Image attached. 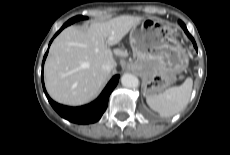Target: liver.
Masks as SVG:
<instances>
[{
  "label": "liver",
  "mask_w": 230,
  "mask_h": 155,
  "mask_svg": "<svg viewBox=\"0 0 230 155\" xmlns=\"http://www.w3.org/2000/svg\"><path fill=\"white\" fill-rule=\"evenodd\" d=\"M143 19L121 15L106 22L92 23L88 29L76 26L64 29L53 41L45 62L44 77L49 95L71 106L92 100L109 77L110 72L103 69V64L114 61L110 46L118 44Z\"/></svg>",
  "instance_id": "6515ba94"
}]
</instances>
